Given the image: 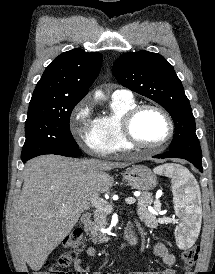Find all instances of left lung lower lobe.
<instances>
[{
  "mask_svg": "<svg viewBox=\"0 0 215 274\" xmlns=\"http://www.w3.org/2000/svg\"><path fill=\"white\" fill-rule=\"evenodd\" d=\"M154 158H182L191 162L200 172H203L202 169V155H191L180 152L168 151L164 154H159L154 156Z\"/></svg>",
  "mask_w": 215,
  "mask_h": 274,
  "instance_id": "1",
  "label": "left lung lower lobe"
}]
</instances>
